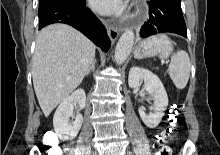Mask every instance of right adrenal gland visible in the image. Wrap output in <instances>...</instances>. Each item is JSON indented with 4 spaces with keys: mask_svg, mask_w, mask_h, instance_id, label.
<instances>
[{
    "mask_svg": "<svg viewBox=\"0 0 220 155\" xmlns=\"http://www.w3.org/2000/svg\"><path fill=\"white\" fill-rule=\"evenodd\" d=\"M95 63H96V60L94 59L93 62L91 63V66H90L89 69L87 70L85 76H87V75L90 73L91 70L94 71V69H95Z\"/></svg>",
    "mask_w": 220,
    "mask_h": 155,
    "instance_id": "1",
    "label": "right adrenal gland"
}]
</instances>
